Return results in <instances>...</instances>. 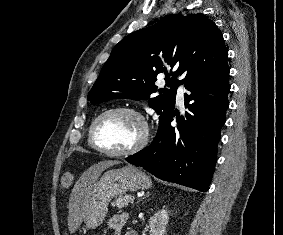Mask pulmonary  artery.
<instances>
[{
  "label": "pulmonary artery",
  "mask_w": 283,
  "mask_h": 235,
  "mask_svg": "<svg viewBox=\"0 0 283 235\" xmlns=\"http://www.w3.org/2000/svg\"><path fill=\"white\" fill-rule=\"evenodd\" d=\"M185 91V88L183 85L178 86V94H177V102L182 105L184 102V96L183 92Z\"/></svg>",
  "instance_id": "e3ab8cb5"
}]
</instances>
